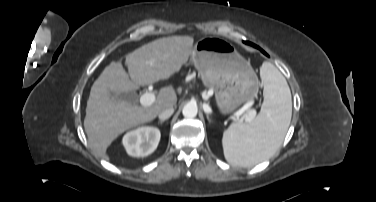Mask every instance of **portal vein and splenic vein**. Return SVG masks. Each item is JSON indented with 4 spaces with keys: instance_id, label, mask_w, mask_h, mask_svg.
I'll return each instance as SVG.
<instances>
[{
    "instance_id": "18ae733b",
    "label": "portal vein and splenic vein",
    "mask_w": 376,
    "mask_h": 202,
    "mask_svg": "<svg viewBox=\"0 0 376 202\" xmlns=\"http://www.w3.org/2000/svg\"><path fill=\"white\" fill-rule=\"evenodd\" d=\"M155 95L153 94V93H149V92H146V93H144L142 96H141V98H140V101H141V104L143 105V106H149V105H151L152 103H154V101H155ZM242 112H245L247 109L245 108V107H243L242 109ZM206 111V110H205ZM240 113H239V111L238 112H236L235 114H234V116H237V115H239ZM245 120L246 121H250L251 120V117H250V115H246L245 116Z\"/></svg>"
}]
</instances>
